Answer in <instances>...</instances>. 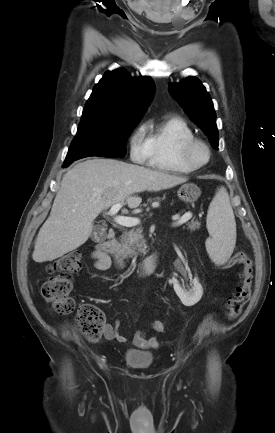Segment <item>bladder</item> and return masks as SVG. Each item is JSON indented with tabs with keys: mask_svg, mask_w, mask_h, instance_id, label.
Masks as SVG:
<instances>
[{
	"mask_svg": "<svg viewBox=\"0 0 275 433\" xmlns=\"http://www.w3.org/2000/svg\"><path fill=\"white\" fill-rule=\"evenodd\" d=\"M124 361L133 368H147L153 362V354L149 351L128 349L124 353Z\"/></svg>",
	"mask_w": 275,
	"mask_h": 433,
	"instance_id": "bladder-1",
	"label": "bladder"
}]
</instances>
